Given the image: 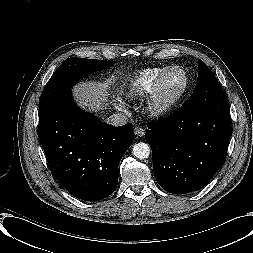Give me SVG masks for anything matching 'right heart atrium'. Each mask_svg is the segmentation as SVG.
<instances>
[{"label":"right heart atrium","instance_id":"1","mask_svg":"<svg viewBox=\"0 0 253 253\" xmlns=\"http://www.w3.org/2000/svg\"><path fill=\"white\" fill-rule=\"evenodd\" d=\"M118 106H119L120 109H125L126 108L124 103H119Z\"/></svg>","mask_w":253,"mask_h":253}]
</instances>
